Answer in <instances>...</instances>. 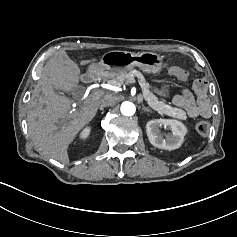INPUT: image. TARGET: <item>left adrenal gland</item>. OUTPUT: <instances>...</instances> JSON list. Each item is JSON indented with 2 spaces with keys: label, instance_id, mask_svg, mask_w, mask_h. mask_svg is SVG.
Instances as JSON below:
<instances>
[{
  "label": "left adrenal gland",
  "instance_id": "a2214340",
  "mask_svg": "<svg viewBox=\"0 0 237 237\" xmlns=\"http://www.w3.org/2000/svg\"><path fill=\"white\" fill-rule=\"evenodd\" d=\"M142 110L146 112H150V109L148 107H145L143 104H142Z\"/></svg>",
  "mask_w": 237,
  "mask_h": 237
}]
</instances>
